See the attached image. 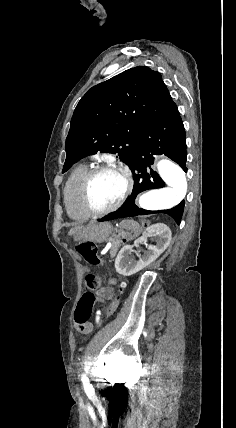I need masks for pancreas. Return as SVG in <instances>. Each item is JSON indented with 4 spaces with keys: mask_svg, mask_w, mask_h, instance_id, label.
<instances>
[{
    "mask_svg": "<svg viewBox=\"0 0 236 428\" xmlns=\"http://www.w3.org/2000/svg\"><path fill=\"white\" fill-rule=\"evenodd\" d=\"M120 238H115V240H112V246L110 250V258H114L119 246H120Z\"/></svg>",
    "mask_w": 236,
    "mask_h": 428,
    "instance_id": "cf45deb5",
    "label": "pancreas"
}]
</instances>
